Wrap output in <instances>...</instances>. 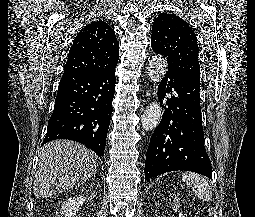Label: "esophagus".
<instances>
[{"mask_svg":"<svg viewBox=\"0 0 255 217\" xmlns=\"http://www.w3.org/2000/svg\"><path fill=\"white\" fill-rule=\"evenodd\" d=\"M150 92H151V90H149V95H151V93H150Z\"/></svg>","mask_w":255,"mask_h":217,"instance_id":"esophagus-1","label":"esophagus"}]
</instances>
